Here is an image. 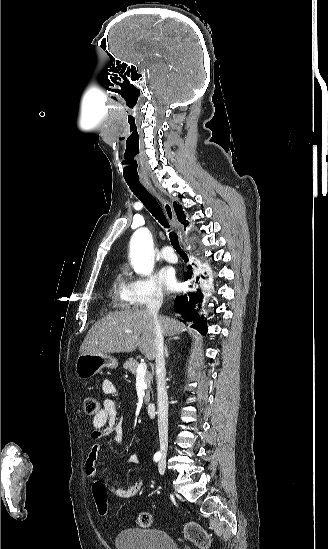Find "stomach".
Segmentation results:
<instances>
[{
    "label": "stomach",
    "instance_id": "1",
    "mask_svg": "<svg viewBox=\"0 0 328 549\" xmlns=\"http://www.w3.org/2000/svg\"><path fill=\"white\" fill-rule=\"evenodd\" d=\"M104 367H107V369H116L118 367L117 359H114L112 355H104V353H98V355H79L75 365V373L79 379L87 381V379H91L99 371H102Z\"/></svg>",
    "mask_w": 328,
    "mask_h": 549
}]
</instances>
